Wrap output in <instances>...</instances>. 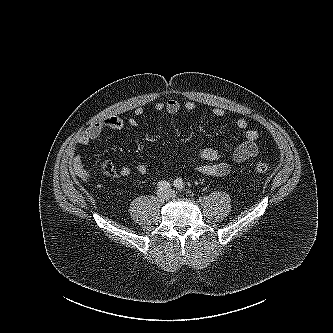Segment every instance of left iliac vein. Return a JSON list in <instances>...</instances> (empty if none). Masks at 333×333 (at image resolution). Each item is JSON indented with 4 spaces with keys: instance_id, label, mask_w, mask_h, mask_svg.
Returning a JSON list of instances; mask_svg holds the SVG:
<instances>
[{
    "instance_id": "left-iliac-vein-1",
    "label": "left iliac vein",
    "mask_w": 333,
    "mask_h": 333,
    "mask_svg": "<svg viewBox=\"0 0 333 333\" xmlns=\"http://www.w3.org/2000/svg\"><path fill=\"white\" fill-rule=\"evenodd\" d=\"M168 193H169L170 197H174L175 196V193L172 190H168Z\"/></svg>"
}]
</instances>
